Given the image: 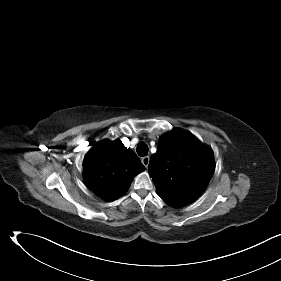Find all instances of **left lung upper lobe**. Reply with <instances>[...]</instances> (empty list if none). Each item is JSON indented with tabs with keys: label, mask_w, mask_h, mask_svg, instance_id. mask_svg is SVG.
Masks as SVG:
<instances>
[{
	"label": "left lung upper lobe",
	"mask_w": 281,
	"mask_h": 281,
	"mask_svg": "<svg viewBox=\"0 0 281 281\" xmlns=\"http://www.w3.org/2000/svg\"><path fill=\"white\" fill-rule=\"evenodd\" d=\"M214 170L212 149L182 129H174L159 138L158 150L149 163L157 194L173 207L195 201Z\"/></svg>",
	"instance_id": "left-lung-upper-lobe-1"
}]
</instances>
